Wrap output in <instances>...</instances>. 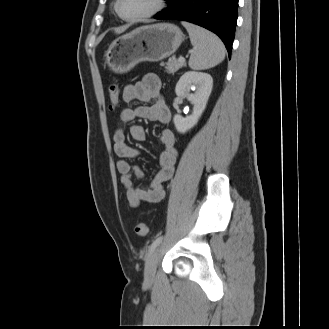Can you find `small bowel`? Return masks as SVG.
I'll return each instance as SVG.
<instances>
[{"label":"small bowel","mask_w":329,"mask_h":329,"mask_svg":"<svg viewBox=\"0 0 329 329\" xmlns=\"http://www.w3.org/2000/svg\"><path fill=\"white\" fill-rule=\"evenodd\" d=\"M122 97L125 102L147 103L122 110L114 123L113 148L115 154L120 157L116 168L121 176V183L126 189L128 203L131 207H137L142 202H159L165 195L164 183L172 177L175 169L177 160L175 135L169 129L160 132L159 171L148 186H138L135 185L134 180L141 178L143 173L129 160L136 158L139 151L126 143L125 125L135 118H144L164 125L170 122L171 112L161 95V81L155 74H148L143 80L125 86ZM128 131L132 140L145 141L146 132L143 126L131 125Z\"/></svg>","instance_id":"small-bowel-1"}]
</instances>
